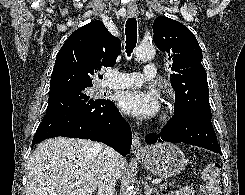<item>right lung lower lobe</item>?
<instances>
[{
	"mask_svg": "<svg viewBox=\"0 0 245 195\" xmlns=\"http://www.w3.org/2000/svg\"><path fill=\"white\" fill-rule=\"evenodd\" d=\"M64 136L103 142L126 156L132 132L113 102L98 99L46 113L34 135L32 146L52 137Z\"/></svg>",
	"mask_w": 245,
	"mask_h": 195,
	"instance_id": "obj_1",
	"label": "right lung lower lobe"
}]
</instances>
